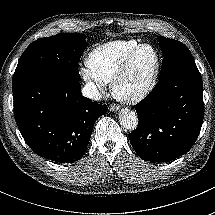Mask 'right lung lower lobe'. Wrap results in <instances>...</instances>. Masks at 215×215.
<instances>
[{
  "mask_svg": "<svg viewBox=\"0 0 215 215\" xmlns=\"http://www.w3.org/2000/svg\"><path fill=\"white\" fill-rule=\"evenodd\" d=\"M12 89L17 126L37 155L59 163L75 162L84 155L106 105L83 97L76 80L38 77Z\"/></svg>",
  "mask_w": 215,
  "mask_h": 215,
  "instance_id": "98d812e1",
  "label": "right lung lower lobe"
}]
</instances>
